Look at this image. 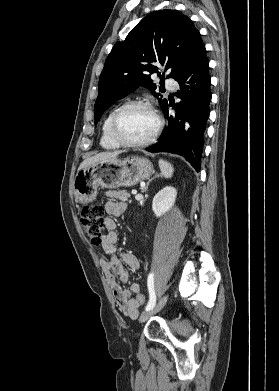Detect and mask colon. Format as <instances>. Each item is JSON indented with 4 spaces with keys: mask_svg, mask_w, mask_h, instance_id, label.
Returning a JSON list of instances; mask_svg holds the SVG:
<instances>
[{
    "mask_svg": "<svg viewBox=\"0 0 279 391\" xmlns=\"http://www.w3.org/2000/svg\"><path fill=\"white\" fill-rule=\"evenodd\" d=\"M104 209L99 204L85 205L81 210V224L94 245H99L102 242L104 229ZM139 307L145 304V297L140 294L136 297Z\"/></svg>",
    "mask_w": 279,
    "mask_h": 391,
    "instance_id": "5ec220e1",
    "label": "colon"
}]
</instances>
